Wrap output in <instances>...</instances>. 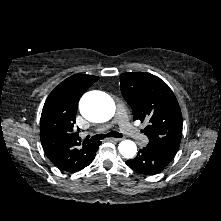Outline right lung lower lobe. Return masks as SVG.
Returning <instances> with one entry per match:
<instances>
[{
    "mask_svg": "<svg viewBox=\"0 0 221 221\" xmlns=\"http://www.w3.org/2000/svg\"><path fill=\"white\" fill-rule=\"evenodd\" d=\"M100 144H101L100 142L97 143L96 150H95L93 156L90 158V160H89L88 163L86 164V166H88V165L93 161V159H94V157H95V154H96V151H97V149H98V147H99Z\"/></svg>",
    "mask_w": 221,
    "mask_h": 221,
    "instance_id": "right-lung-lower-lobe-1",
    "label": "right lung lower lobe"
}]
</instances>
